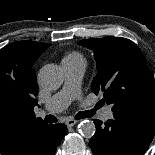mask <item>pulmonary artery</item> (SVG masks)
I'll list each match as a JSON object with an SVG mask.
<instances>
[{
  "label": "pulmonary artery",
  "mask_w": 155,
  "mask_h": 155,
  "mask_svg": "<svg viewBox=\"0 0 155 155\" xmlns=\"http://www.w3.org/2000/svg\"><path fill=\"white\" fill-rule=\"evenodd\" d=\"M62 67L65 73L63 88L54 94L45 104L44 112L51 114L63 111L75 98L80 90L82 77L86 69V63L82 60H62ZM113 112L107 107L102 112V118H112Z\"/></svg>",
  "instance_id": "obj_1"
}]
</instances>
